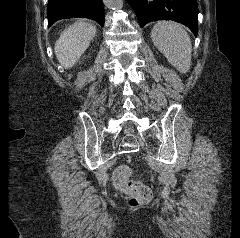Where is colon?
<instances>
[{
    "instance_id": "1",
    "label": "colon",
    "mask_w": 240,
    "mask_h": 238,
    "mask_svg": "<svg viewBox=\"0 0 240 238\" xmlns=\"http://www.w3.org/2000/svg\"><path fill=\"white\" fill-rule=\"evenodd\" d=\"M128 166L118 167L113 176L115 186L129 198L131 205L148 202L152 197L149 186L141 181L133 180Z\"/></svg>"
}]
</instances>
